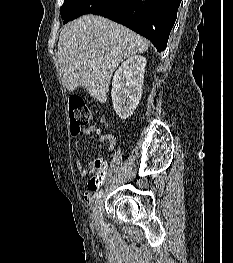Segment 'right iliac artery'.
<instances>
[{"instance_id": "right-iliac-artery-1", "label": "right iliac artery", "mask_w": 233, "mask_h": 263, "mask_svg": "<svg viewBox=\"0 0 233 263\" xmlns=\"http://www.w3.org/2000/svg\"><path fill=\"white\" fill-rule=\"evenodd\" d=\"M102 194H103V190H100L99 192H97V193L95 194V197H96L97 199H99V198L102 196Z\"/></svg>"}]
</instances>
